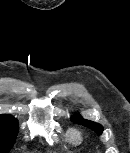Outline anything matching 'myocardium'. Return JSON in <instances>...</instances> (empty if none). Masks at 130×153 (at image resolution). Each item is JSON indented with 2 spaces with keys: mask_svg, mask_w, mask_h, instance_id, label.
Segmentation results:
<instances>
[{
  "mask_svg": "<svg viewBox=\"0 0 130 153\" xmlns=\"http://www.w3.org/2000/svg\"><path fill=\"white\" fill-rule=\"evenodd\" d=\"M69 139L73 143H80L82 141V132L77 128H72L68 133Z\"/></svg>",
  "mask_w": 130,
  "mask_h": 153,
  "instance_id": "myocardium-1",
  "label": "myocardium"
}]
</instances>
